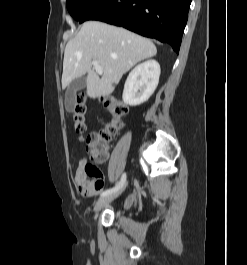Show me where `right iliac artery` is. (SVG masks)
Returning a JSON list of instances; mask_svg holds the SVG:
<instances>
[{"instance_id": "right-iliac-artery-1", "label": "right iliac artery", "mask_w": 247, "mask_h": 265, "mask_svg": "<svg viewBox=\"0 0 247 265\" xmlns=\"http://www.w3.org/2000/svg\"><path fill=\"white\" fill-rule=\"evenodd\" d=\"M126 182V173H123L121 176V179L117 185H115L113 188L107 189L101 193V197L109 195L117 190H119Z\"/></svg>"}]
</instances>
